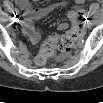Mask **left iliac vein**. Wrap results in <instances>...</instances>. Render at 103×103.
<instances>
[{"mask_svg":"<svg viewBox=\"0 0 103 103\" xmlns=\"http://www.w3.org/2000/svg\"><path fill=\"white\" fill-rule=\"evenodd\" d=\"M86 27H87V28H90V27H91V22H90V21H88V22L86 23Z\"/></svg>","mask_w":103,"mask_h":103,"instance_id":"obj_1","label":"left iliac vein"}]
</instances>
